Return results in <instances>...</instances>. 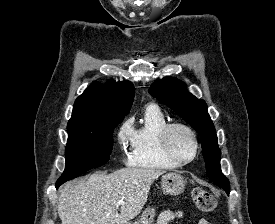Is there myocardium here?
Listing matches in <instances>:
<instances>
[{
	"mask_svg": "<svg viewBox=\"0 0 275 224\" xmlns=\"http://www.w3.org/2000/svg\"><path fill=\"white\" fill-rule=\"evenodd\" d=\"M176 130H182L184 132H186L192 139L193 143H194V153L192 154L191 157L189 158H181L179 157L171 148V135L174 131ZM160 145H161V149L163 151V153L165 154V156L167 158H169L170 160H172L173 162H175L177 165L179 166H185L187 164H190L191 162H193L200 151V144H199V140H198V136L195 133V131L188 125L184 124V123H168L162 130L161 135H160Z\"/></svg>",
	"mask_w": 275,
	"mask_h": 224,
	"instance_id": "myocardium-1",
	"label": "myocardium"
}]
</instances>
